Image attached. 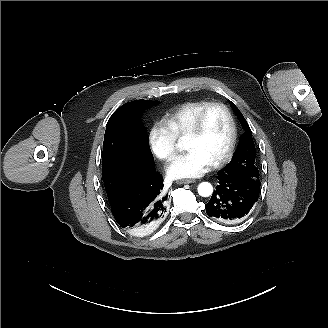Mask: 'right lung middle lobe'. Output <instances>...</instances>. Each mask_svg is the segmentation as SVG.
I'll return each instance as SVG.
<instances>
[{
    "label": "right lung middle lobe",
    "mask_w": 328,
    "mask_h": 328,
    "mask_svg": "<svg viewBox=\"0 0 328 328\" xmlns=\"http://www.w3.org/2000/svg\"><path fill=\"white\" fill-rule=\"evenodd\" d=\"M153 104L156 102L148 100L126 103L107 122L102 152V179L109 201L129 179L145 176L154 167L147 136L139 124L143 111Z\"/></svg>",
    "instance_id": "obj_1"
}]
</instances>
